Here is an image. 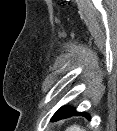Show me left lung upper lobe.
Returning <instances> with one entry per match:
<instances>
[{
    "instance_id": "left-lung-upper-lobe-1",
    "label": "left lung upper lobe",
    "mask_w": 117,
    "mask_h": 131,
    "mask_svg": "<svg viewBox=\"0 0 117 131\" xmlns=\"http://www.w3.org/2000/svg\"><path fill=\"white\" fill-rule=\"evenodd\" d=\"M67 108H68V107H66V106L61 107V108L53 115V117L51 118V121L58 120V119L60 118L61 113H62L64 110H66Z\"/></svg>"
}]
</instances>
